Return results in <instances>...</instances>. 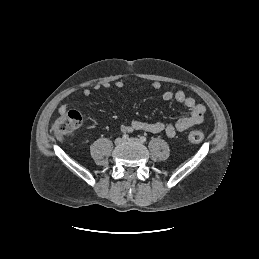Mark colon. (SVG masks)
I'll list each match as a JSON object with an SVG mask.
<instances>
[{
	"mask_svg": "<svg viewBox=\"0 0 259 259\" xmlns=\"http://www.w3.org/2000/svg\"><path fill=\"white\" fill-rule=\"evenodd\" d=\"M82 122L81 114L76 110H69L56 118L51 125V131L58 140L72 136L79 128ZM204 139V133L200 129H194L189 132L188 140L193 144H199Z\"/></svg>",
	"mask_w": 259,
	"mask_h": 259,
	"instance_id": "colon-1",
	"label": "colon"
}]
</instances>
